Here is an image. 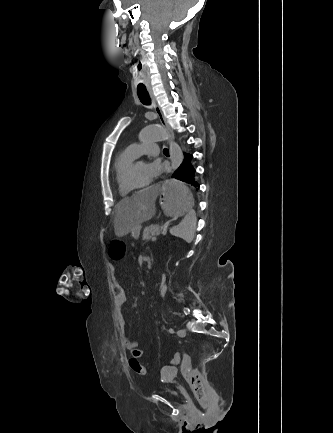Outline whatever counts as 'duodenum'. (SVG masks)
<instances>
[{
	"label": "duodenum",
	"mask_w": 333,
	"mask_h": 433,
	"mask_svg": "<svg viewBox=\"0 0 333 433\" xmlns=\"http://www.w3.org/2000/svg\"><path fill=\"white\" fill-rule=\"evenodd\" d=\"M146 264L149 268L151 267V264H152L151 258H149V257L146 258Z\"/></svg>",
	"instance_id": "1"
}]
</instances>
